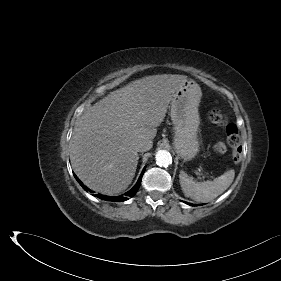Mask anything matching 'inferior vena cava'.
<instances>
[{
  "instance_id": "1",
  "label": "inferior vena cava",
  "mask_w": 281,
  "mask_h": 281,
  "mask_svg": "<svg viewBox=\"0 0 281 281\" xmlns=\"http://www.w3.org/2000/svg\"><path fill=\"white\" fill-rule=\"evenodd\" d=\"M152 142L148 140H142L136 145L138 152H145L151 148Z\"/></svg>"
}]
</instances>
